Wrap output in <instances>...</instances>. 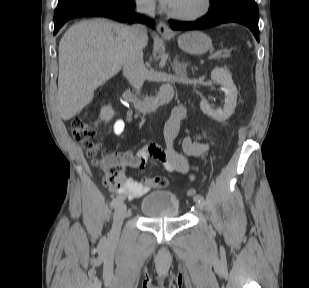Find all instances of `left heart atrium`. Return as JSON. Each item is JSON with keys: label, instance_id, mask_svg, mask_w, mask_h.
Listing matches in <instances>:
<instances>
[{"label": "left heart atrium", "instance_id": "obj_1", "mask_svg": "<svg viewBox=\"0 0 309 288\" xmlns=\"http://www.w3.org/2000/svg\"><path fill=\"white\" fill-rule=\"evenodd\" d=\"M175 0H161V2L168 6L169 8L172 6V4L174 3Z\"/></svg>", "mask_w": 309, "mask_h": 288}]
</instances>
